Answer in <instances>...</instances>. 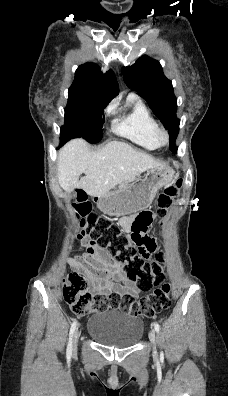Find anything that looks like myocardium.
Segmentation results:
<instances>
[{
	"label": "myocardium",
	"instance_id": "1",
	"mask_svg": "<svg viewBox=\"0 0 228 396\" xmlns=\"http://www.w3.org/2000/svg\"><path fill=\"white\" fill-rule=\"evenodd\" d=\"M154 140L158 147L165 146L169 143V134L164 128L158 126L154 131Z\"/></svg>",
	"mask_w": 228,
	"mask_h": 396
}]
</instances>
